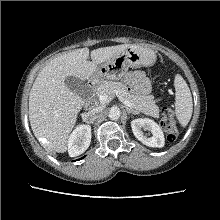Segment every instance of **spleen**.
<instances>
[{
  "mask_svg": "<svg viewBox=\"0 0 220 220\" xmlns=\"http://www.w3.org/2000/svg\"><path fill=\"white\" fill-rule=\"evenodd\" d=\"M176 90L175 115L180 124L185 127L192 116L193 102L190 89L181 75L177 74L174 80Z\"/></svg>",
  "mask_w": 220,
  "mask_h": 220,
  "instance_id": "1",
  "label": "spleen"
}]
</instances>
